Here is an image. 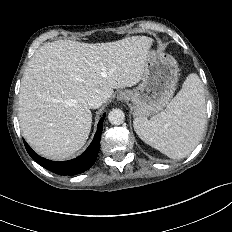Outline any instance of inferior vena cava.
Instances as JSON below:
<instances>
[{
  "mask_svg": "<svg viewBox=\"0 0 232 232\" xmlns=\"http://www.w3.org/2000/svg\"><path fill=\"white\" fill-rule=\"evenodd\" d=\"M103 97L99 94H93L87 100L88 106L92 109H97L103 104Z\"/></svg>",
  "mask_w": 232,
  "mask_h": 232,
  "instance_id": "inferior-vena-cava-1",
  "label": "inferior vena cava"
}]
</instances>
